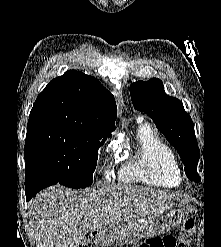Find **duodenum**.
I'll return each instance as SVG.
<instances>
[{
    "mask_svg": "<svg viewBox=\"0 0 221 247\" xmlns=\"http://www.w3.org/2000/svg\"><path fill=\"white\" fill-rule=\"evenodd\" d=\"M91 237L95 240H99L100 238V233L98 231H94L91 233Z\"/></svg>",
    "mask_w": 221,
    "mask_h": 247,
    "instance_id": "obj_1",
    "label": "duodenum"
}]
</instances>
